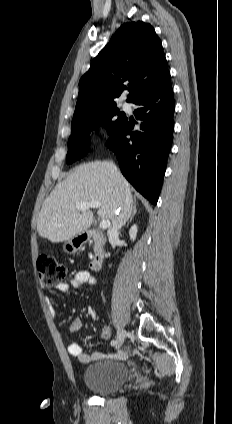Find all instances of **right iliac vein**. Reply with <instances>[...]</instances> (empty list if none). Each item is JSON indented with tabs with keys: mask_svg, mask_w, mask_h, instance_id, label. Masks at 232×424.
<instances>
[{
	"mask_svg": "<svg viewBox=\"0 0 232 424\" xmlns=\"http://www.w3.org/2000/svg\"><path fill=\"white\" fill-rule=\"evenodd\" d=\"M126 335L127 332L123 328L118 329L116 338V348H119L123 344Z\"/></svg>",
	"mask_w": 232,
	"mask_h": 424,
	"instance_id": "1",
	"label": "right iliac vein"
}]
</instances>
